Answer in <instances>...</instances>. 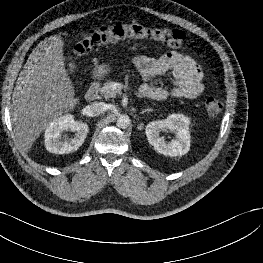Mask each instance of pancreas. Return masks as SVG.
Instances as JSON below:
<instances>
[{
  "mask_svg": "<svg viewBox=\"0 0 263 263\" xmlns=\"http://www.w3.org/2000/svg\"><path fill=\"white\" fill-rule=\"evenodd\" d=\"M114 81L108 80L104 83L103 87L100 88V94L105 98H115L116 91L113 89Z\"/></svg>",
  "mask_w": 263,
  "mask_h": 263,
  "instance_id": "pancreas-1",
  "label": "pancreas"
}]
</instances>
